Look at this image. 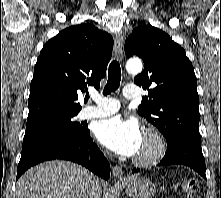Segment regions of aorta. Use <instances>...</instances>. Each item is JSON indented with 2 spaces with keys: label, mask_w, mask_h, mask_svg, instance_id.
Here are the masks:
<instances>
[{
  "label": "aorta",
  "mask_w": 221,
  "mask_h": 198,
  "mask_svg": "<svg viewBox=\"0 0 221 198\" xmlns=\"http://www.w3.org/2000/svg\"><path fill=\"white\" fill-rule=\"evenodd\" d=\"M129 73L137 74L142 71V62L139 59H130L126 64Z\"/></svg>",
  "instance_id": "aorta-1"
}]
</instances>
